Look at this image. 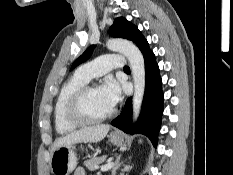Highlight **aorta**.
I'll use <instances>...</instances> for the list:
<instances>
[{"label": "aorta", "mask_w": 233, "mask_h": 175, "mask_svg": "<svg viewBox=\"0 0 233 175\" xmlns=\"http://www.w3.org/2000/svg\"><path fill=\"white\" fill-rule=\"evenodd\" d=\"M106 45L109 50L123 54L130 63L134 83L132 106L133 120L135 121L140 113L145 91V64L143 55L138 47L124 39H111Z\"/></svg>", "instance_id": "aorta-1"}]
</instances>
